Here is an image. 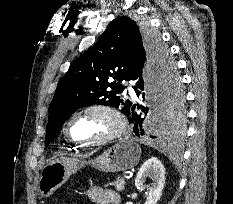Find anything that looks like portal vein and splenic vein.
<instances>
[{
    "label": "portal vein and splenic vein",
    "instance_id": "obj_1",
    "mask_svg": "<svg viewBox=\"0 0 233 204\" xmlns=\"http://www.w3.org/2000/svg\"><path fill=\"white\" fill-rule=\"evenodd\" d=\"M121 180H124V178H123V177H121Z\"/></svg>",
    "mask_w": 233,
    "mask_h": 204
}]
</instances>
